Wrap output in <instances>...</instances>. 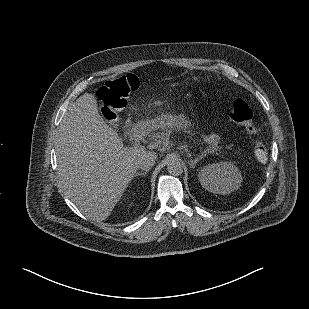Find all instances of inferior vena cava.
I'll list each match as a JSON object with an SVG mask.
<instances>
[{"label": "inferior vena cava", "instance_id": "1", "mask_svg": "<svg viewBox=\"0 0 309 309\" xmlns=\"http://www.w3.org/2000/svg\"><path fill=\"white\" fill-rule=\"evenodd\" d=\"M154 163L155 158L147 157L140 162L139 168L145 171H149L154 166Z\"/></svg>", "mask_w": 309, "mask_h": 309}]
</instances>
